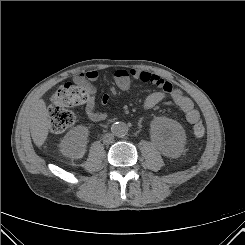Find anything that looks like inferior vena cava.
<instances>
[{"label":"inferior vena cava","instance_id":"602c4592","mask_svg":"<svg viewBox=\"0 0 245 245\" xmlns=\"http://www.w3.org/2000/svg\"><path fill=\"white\" fill-rule=\"evenodd\" d=\"M114 140V135L112 133H107L103 137V142L105 144H109Z\"/></svg>","mask_w":245,"mask_h":245}]
</instances>
